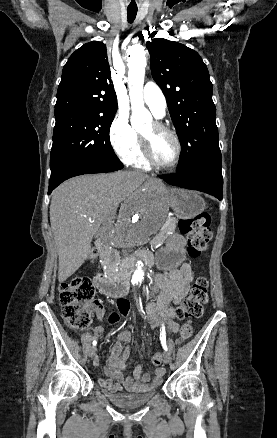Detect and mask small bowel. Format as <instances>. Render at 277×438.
I'll return each instance as SVG.
<instances>
[{
    "label": "small bowel",
    "mask_w": 277,
    "mask_h": 438,
    "mask_svg": "<svg viewBox=\"0 0 277 438\" xmlns=\"http://www.w3.org/2000/svg\"><path fill=\"white\" fill-rule=\"evenodd\" d=\"M193 278L191 266L187 262L181 263L179 268L173 269L167 274L155 275L150 292L157 294V299L147 300L145 304L151 328L163 325L168 333L178 332L179 327L175 321V306L180 304L187 295ZM96 310L101 314L104 306L101 303H96ZM123 315L127 316L128 311ZM103 332L102 326H96L93 329L94 336H100ZM130 342L131 333L128 330H123L110 347L108 366L104 370L106 379H98L99 385L110 392H117L121 389L130 392L150 391L160 385L162 381L165 373L163 368H156L153 379L149 374H143L141 365L135 367L132 375H124L123 372L129 358ZM146 353L150 356L148 351ZM97 363L98 360L95 359V364Z\"/></svg>",
    "instance_id": "1"
}]
</instances>
